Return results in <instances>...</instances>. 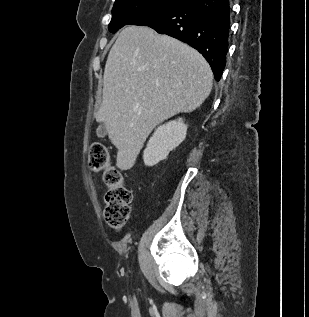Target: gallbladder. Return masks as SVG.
Returning a JSON list of instances; mask_svg holds the SVG:
<instances>
[{
    "label": "gallbladder",
    "instance_id": "1",
    "mask_svg": "<svg viewBox=\"0 0 309 317\" xmlns=\"http://www.w3.org/2000/svg\"><path fill=\"white\" fill-rule=\"evenodd\" d=\"M96 134L99 138H104L107 134L106 127L104 123H100L97 130Z\"/></svg>",
    "mask_w": 309,
    "mask_h": 317
}]
</instances>
